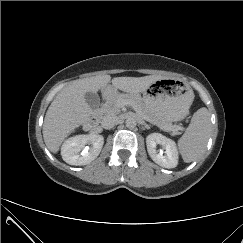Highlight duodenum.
Masks as SVG:
<instances>
[{
    "mask_svg": "<svg viewBox=\"0 0 243 243\" xmlns=\"http://www.w3.org/2000/svg\"><path fill=\"white\" fill-rule=\"evenodd\" d=\"M112 93H113V90L111 88H106L103 91V95H102L103 100H106L107 98H109L112 95ZM99 119H100V113L99 112L93 113L89 117L87 122L85 123V125H84L85 129H87V130L95 129L99 123Z\"/></svg>",
    "mask_w": 243,
    "mask_h": 243,
    "instance_id": "410a0bca",
    "label": "duodenum"
}]
</instances>
